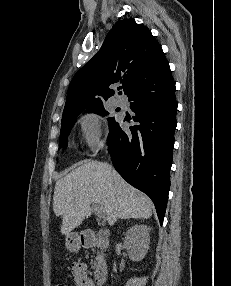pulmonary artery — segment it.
<instances>
[{
	"label": "pulmonary artery",
	"instance_id": "obj_1",
	"mask_svg": "<svg viewBox=\"0 0 231 286\" xmlns=\"http://www.w3.org/2000/svg\"><path fill=\"white\" fill-rule=\"evenodd\" d=\"M113 104L117 107H122L124 105V99L120 96H116L113 99Z\"/></svg>",
	"mask_w": 231,
	"mask_h": 286
}]
</instances>
